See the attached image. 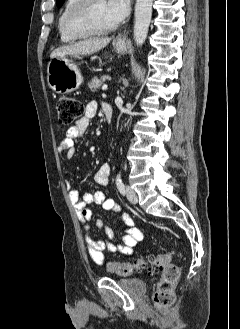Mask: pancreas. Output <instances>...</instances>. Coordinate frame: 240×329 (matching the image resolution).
<instances>
[{
	"instance_id": "pancreas-1",
	"label": "pancreas",
	"mask_w": 240,
	"mask_h": 329,
	"mask_svg": "<svg viewBox=\"0 0 240 329\" xmlns=\"http://www.w3.org/2000/svg\"><path fill=\"white\" fill-rule=\"evenodd\" d=\"M108 78L109 76L107 75L102 76L100 79L93 77L92 81L88 84L89 89L91 91H96Z\"/></svg>"
}]
</instances>
